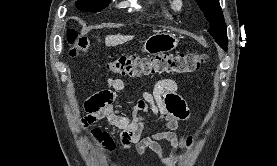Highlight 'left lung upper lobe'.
<instances>
[{"label":"left lung upper lobe","mask_w":277,"mask_h":166,"mask_svg":"<svg viewBox=\"0 0 277 166\" xmlns=\"http://www.w3.org/2000/svg\"><path fill=\"white\" fill-rule=\"evenodd\" d=\"M210 23L208 32L227 51V31L219 0H195Z\"/></svg>","instance_id":"obj_1"}]
</instances>
